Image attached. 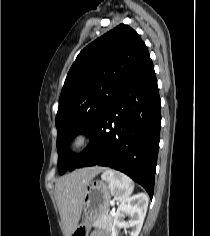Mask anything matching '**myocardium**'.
Here are the masks:
<instances>
[{"label": "myocardium", "instance_id": "myocardium-1", "mask_svg": "<svg viewBox=\"0 0 210 236\" xmlns=\"http://www.w3.org/2000/svg\"><path fill=\"white\" fill-rule=\"evenodd\" d=\"M90 141V134L86 130L76 131L69 142V148L71 151H78L84 148Z\"/></svg>", "mask_w": 210, "mask_h": 236}]
</instances>
